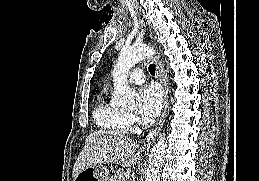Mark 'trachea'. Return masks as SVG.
I'll list each match as a JSON object with an SVG mask.
<instances>
[{
  "label": "trachea",
  "instance_id": "1",
  "mask_svg": "<svg viewBox=\"0 0 259 181\" xmlns=\"http://www.w3.org/2000/svg\"><path fill=\"white\" fill-rule=\"evenodd\" d=\"M149 72L151 75H155V72H156V65L155 64H151L149 65Z\"/></svg>",
  "mask_w": 259,
  "mask_h": 181
}]
</instances>
